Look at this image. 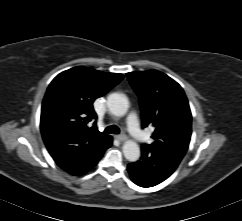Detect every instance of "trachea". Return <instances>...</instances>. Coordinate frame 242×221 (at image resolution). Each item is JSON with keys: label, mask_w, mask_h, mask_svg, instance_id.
<instances>
[{"label": "trachea", "mask_w": 242, "mask_h": 221, "mask_svg": "<svg viewBox=\"0 0 242 221\" xmlns=\"http://www.w3.org/2000/svg\"><path fill=\"white\" fill-rule=\"evenodd\" d=\"M104 132L108 133V134H110V133L119 134L120 133V129L117 126L112 125V126L106 127Z\"/></svg>", "instance_id": "trachea-1"}]
</instances>
